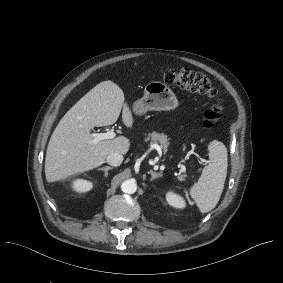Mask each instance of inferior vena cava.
<instances>
[{
  "label": "inferior vena cava",
  "mask_w": 283,
  "mask_h": 283,
  "mask_svg": "<svg viewBox=\"0 0 283 283\" xmlns=\"http://www.w3.org/2000/svg\"><path fill=\"white\" fill-rule=\"evenodd\" d=\"M106 161L111 166H120L123 162V155L118 153H111L107 156Z\"/></svg>",
  "instance_id": "1"
}]
</instances>
